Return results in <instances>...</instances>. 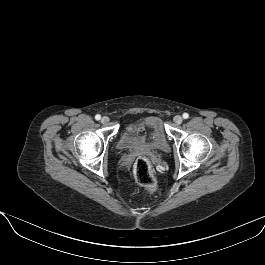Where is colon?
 I'll return each mask as SVG.
<instances>
[{"instance_id":"obj_1","label":"colon","mask_w":265,"mask_h":265,"mask_svg":"<svg viewBox=\"0 0 265 265\" xmlns=\"http://www.w3.org/2000/svg\"><path fill=\"white\" fill-rule=\"evenodd\" d=\"M149 136H153L154 132L150 131ZM134 176L139 184L149 189H155L157 186L156 178L152 172L149 161L145 157H139L134 164Z\"/></svg>"}]
</instances>
